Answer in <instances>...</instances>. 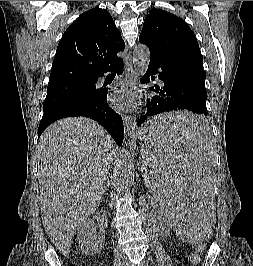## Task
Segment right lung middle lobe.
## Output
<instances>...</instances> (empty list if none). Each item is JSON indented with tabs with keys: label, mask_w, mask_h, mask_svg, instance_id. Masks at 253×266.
Segmentation results:
<instances>
[{
	"label": "right lung middle lobe",
	"mask_w": 253,
	"mask_h": 266,
	"mask_svg": "<svg viewBox=\"0 0 253 266\" xmlns=\"http://www.w3.org/2000/svg\"><path fill=\"white\" fill-rule=\"evenodd\" d=\"M95 84V80H91L48 86L42 120L50 121L55 116L72 113L92 103L99 94Z\"/></svg>",
	"instance_id": "1"
}]
</instances>
